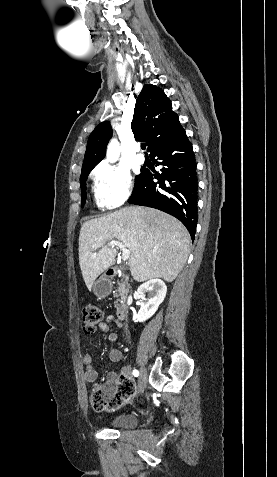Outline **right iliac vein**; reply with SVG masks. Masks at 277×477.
Returning <instances> with one entry per match:
<instances>
[{
	"label": "right iliac vein",
	"mask_w": 277,
	"mask_h": 477,
	"mask_svg": "<svg viewBox=\"0 0 277 477\" xmlns=\"http://www.w3.org/2000/svg\"><path fill=\"white\" fill-rule=\"evenodd\" d=\"M147 383V371L144 367L140 370L139 380H138V391L142 393L146 387Z\"/></svg>",
	"instance_id": "right-iliac-vein-1"
}]
</instances>
